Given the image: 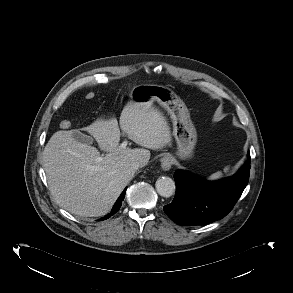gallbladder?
I'll return each mask as SVG.
<instances>
[{"label":"gallbladder","mask_w":293,"mask_h":293,"mask_svg":"<svg viewBox=\"0 0 293 293\" xmlns=\"http://www.w3.org/2000/svg\"><path fill=\"white\" fill-rule=\"evenodd\" d=\"M72 137L76 141H78L80 143H83V144H87V145H90L92 143V141H93V138L92 137L87 136V135H85V134H83V133H81V132H79L77 130H74L72 132Z\"/></svg>","instance_id":"gallbladder-1"}]
</instances>
